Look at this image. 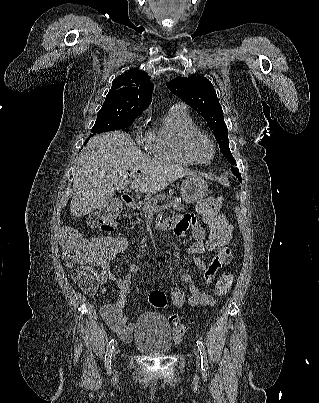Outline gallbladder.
I'll return each mask as SVG.
<instances>
[{
  "label": "gallbladder",
  "mask_w": 319,
  "mask_h": 403,
  "mask_svg": "<svg viewBox=\"0 0 319 403\" xmlns=\"http://www.w3.org/2000/svg\"><path fill=\"white\" fill-rule=\"evenodd\" d=\"M117 200H114V199H112V200H110V202L109 203H107L105 206H104V208L106 209V210H113V206H114V203L116 202Z\"/></svg>",
  "instance_id": "obj_1"
}]
</instances>
